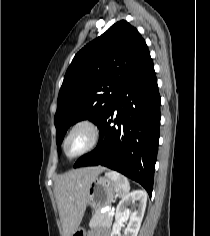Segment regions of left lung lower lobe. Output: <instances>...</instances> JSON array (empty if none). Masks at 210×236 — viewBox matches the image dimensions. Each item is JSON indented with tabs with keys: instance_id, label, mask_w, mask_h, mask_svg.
Returning <instances> with one entry per match:
<instances>
[{
	"instance_id": "left-lung-lower-lobe-1",
	"label": "left lung lower lobe",
	"mask_w": 210,
	"mask_h": 236,
	"mask_svg": "<svg viewBox=\"0 0 210 236\" xmlns=\"http://www.w3.org/2000/svg\"><path fill=\"white\" fill-rule=\"evenodd\" d=\"M160 118V95L151 60L119 92L99 125L97 147L74 167L102 165L116 170L140 183L151 196Z\"/></svg>"
}]
</instances>
